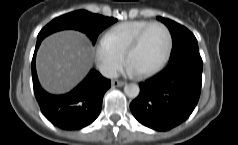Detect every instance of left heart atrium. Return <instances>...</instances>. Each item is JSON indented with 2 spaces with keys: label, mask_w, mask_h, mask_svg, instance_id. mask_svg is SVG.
<instances>
[{
  "label": "left heart atrium",
  "mask_w": 238,
  "mask_h": 145,
  "mask_svg": "<svg viewBox=\"0 0 238 145\" xmlns=\"http://www.w3.org/2000/svg\"><path fill=\"white\" fill-rule=\"evenodd\" d=\"M125 71H126V73L129 74V75L138 74L137 71H136L129 63L126 64V66H125Z\"/></svg>",
  "instance_id": "39dd6f15"
}]
</instances>
